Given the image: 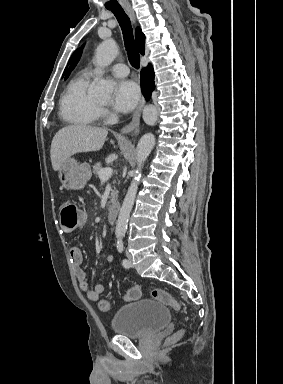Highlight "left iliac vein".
Segmentation results:
<instances>
[{"label": "left iliac vein", "instance_id": "4c4485c4", "mask_svg": "<svg viewBox=\"0 0 283 384\" xmlns=\"http://www.w3.org/2000/svg\"><path fill=\"white\" fill-rule=\"evenodd\" d=\"M126 256L129 262V267H132V256L128 251H126Z\"/></svg>", "mask_w": 283, "mask_h": 384}]
</instances>
